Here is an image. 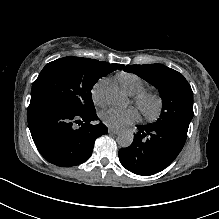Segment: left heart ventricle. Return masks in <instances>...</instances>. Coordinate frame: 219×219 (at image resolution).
Listing matches in <instances>:
<instances>
[{"label": "left heart ventricle", "instance_id": "obj_1", "mask_svg": "<svg viewBox=\"0 0 219 219\" xmlns=\"http://www.w3.org/2000/svg\"><path fill=\"white\" fill-rule=\"evenodd\" d=\"M145 108L147 111L151 112L154 109V104L151 101H149L145 104Z\"/></svg>", "mask_w": 219, "mask_h": 219}]
</instances>
